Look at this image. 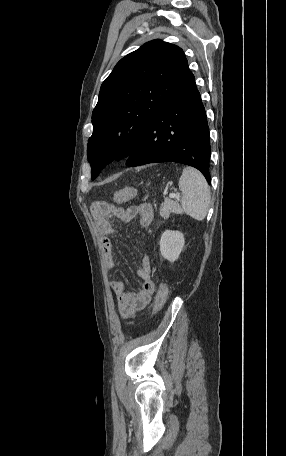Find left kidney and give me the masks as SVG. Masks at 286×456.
<instances>
[{
	"mask_svg": "<svg viewBox=\"0 0 286 456\" xmlns=\"http://www.w3.org/2000/svg\"><path fill=\"white\" fill-rule=\"evenodd\" d=\"M185 239L183 233L179 231L166 230L161 235L160 252L161 255L170 262H174L184 247Z\"/></svg>",
	"mask_w": 286,
	"mask_h": 456,
	"instance_id": "left-kidney-1",
	"label": "left kidney"
}]
</instances>
